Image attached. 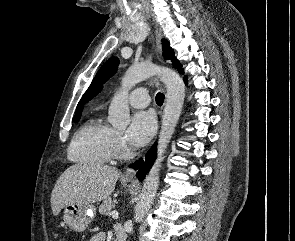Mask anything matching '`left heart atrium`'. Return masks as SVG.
I'll return each mask as SVG.
<instances>
[{"label": "left heart atrium", "instance_id": "obj_1", "mask_svg": "<svg viewBox=\"0 0 295 241\" xmlns=\"http://www.w3.org/2000/svg\"><path fill=\"white\" fill-rule=\"evenodd\" d=\"M155 127V118L150 112H138L131 120L124 141L132 148H140L152 138Z\"/></svg>", "mask_w": 295, "mask_h": 241}]
</instances>
